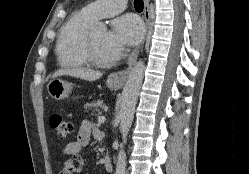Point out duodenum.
<instances>
[{
  "mask_svg": "<svg viewBox=\"0 0 249 174\" xmlns=\"http://www.w3.org/2000/svg\"><path fill=\"white\" fill-rule=\"evenodd\" d=\"M104 167H105V169H106L109 173H112L113 170H114L113 163H112L110 157L108 156V154H105V155H104Z\"/></svg>",
  "mask_w": 249,
  "mask_h": 174,
  "instance_id": "obj_1",
  "label": "duodenum"
}]
</instances>
